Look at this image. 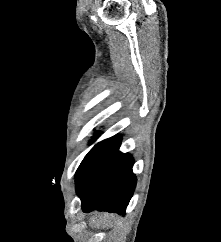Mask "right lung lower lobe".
<instances>
[{
  "instance_id": "1",
  "label": "right lung lower lobe",
  "mask_w": 221,
  "mask_h": 242,
  "mask_svg": "<svg viewBox=\"0 0 221 242\" xmlns=\"http://www.w3.org/2000/svg\"><path fill=\"white\" fill-rule=\"evenodd\" d=\"M120 143L119 136L98 143L77 169L76 191L84 212L125 214L136 178L132 172L133 158L119 151Z\"/></svg>"
}]
</instances>
